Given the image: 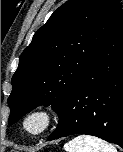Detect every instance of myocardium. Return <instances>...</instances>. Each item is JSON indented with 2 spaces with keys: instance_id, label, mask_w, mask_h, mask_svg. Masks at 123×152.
<instances>
[{
  "instance_id": "1",
  "label": "myocardium",
  "mask_w": 123,
  "mask_h": 152,
  "mask_svg": "<svg viewBox=\"0 0 123 152\" xmlns=\"http://www.w3.org/2000/svg\"><path fill=\"white\" fill-rule=\"evenodd\" d=\"M39 117L42 120L41 126L36 130H31L28 126L29 122L35 118ZM55 120L54 112L48 107H37L29 111L23 119V128L24 130L33 136L41 135L45 133L53 124Z\"/></svg>"
}]
</instances>
